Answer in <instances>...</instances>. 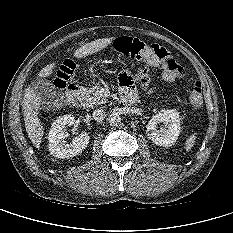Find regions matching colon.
I'll return each mask as SVG.
<instances>
[{"label":"colon","mask_w":233,"mask_h":233,"mask_svg":"<svg viewBox=\"0 0 233 233\" xmlns=\"http://www.w3.org/2000/svg\"><path fill=\"white\" fill-rule=\"evenodd\" d=\"M114 47L125 57L159 64L162 77L167 81H174L186 75L185 67L178 63L164 46L148 44L137 38L120 37L115 41ZM74 69V60H65L57 73L56 85L60 88L65 87L73 75ZM188 98L194 108L202 106L203 87L200 81L193 83Z\"/></svg>","instance_id":"obj_1"}]
</instances>
